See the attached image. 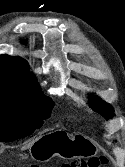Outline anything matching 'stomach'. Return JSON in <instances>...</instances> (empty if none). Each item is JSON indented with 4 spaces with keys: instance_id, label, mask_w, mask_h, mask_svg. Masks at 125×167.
<instances>
[{
    "instance_id": "obj_1",
    "label": "stomach",
    "mask_w": 125,
    "mask_h": 167,
    "mask_svg": "<svg viewBox=\"0 0 125 167\" xmlns=\"http://www.w3.org/2000/svg\"><path fill=\"white\" fill-rule=\"evenodd\" d=\"M90 145L94 147L91 141L83 135L56 131L36 140L30 147V155L37 161H47L56 155L72 159L88 155L90 152L86 147Z\"/></svg>"
}]
</instances>
